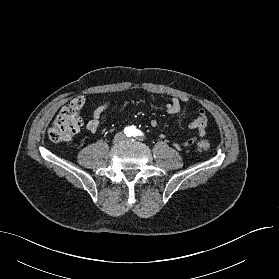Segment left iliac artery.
<instances>
[{
    "label": "left iliac artery",
    "instance_id": "44dca946",
    "mask_svg": "<svg viewBox=\"0 0 279 279\" xmlns=\"http://www.w3.org/2000/svg\"><path fill=\"white\" fill-rule=\"evenodd\" d=\"M132 135H133V137H141V136H143V133L140 130L133 128V134Z\"/></svg>",
    "mask_w": 279,
    "mask_h": 279
}]
</instances>
